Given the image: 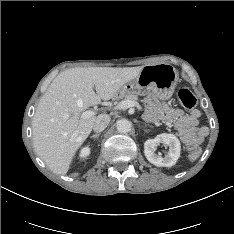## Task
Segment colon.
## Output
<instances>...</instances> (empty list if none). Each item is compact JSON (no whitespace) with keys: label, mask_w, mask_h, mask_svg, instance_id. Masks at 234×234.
Listing matches in <instances>:
<instances>
[{"label":"colon","mask_w":234,"mask_h":234,"mask_svg":"<svg viewBox=\"0 0 234 234\" xmlns=\"http://www.w3.org/2000/svg\"><path fill=\"white\" fill-rule=\"evenodd\" d=\"M177 98L179 103L185 108L191 109L196 105V98L194 94L186 88H182L178 91ZM200 154V148L192 147L190 148L189 158L191 160H196L197 158H199Z\"/></svg>","instance_id":"5ec220e1"}]
</instances>
